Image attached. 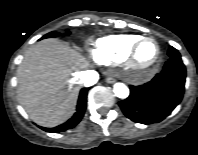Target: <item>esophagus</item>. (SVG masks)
<instances>
[{
  "label": "esophagus",
  "mask_w": 198,
  "mask_h": 155,
  "mask_svg": "<svg viewBox=\"0 0 198 155\" xmlns=\"http://www.w3.org/2000/svg\"><path fill=\"white\" fill-rule=\"evenodd\" d=\"M106 81H107V83L112 84V83L116 82V79L114 78V76L112 74L108 73V77H107Z\"/></svg>",
  "instance_id": "esophagus-1"
}]
</instances>
